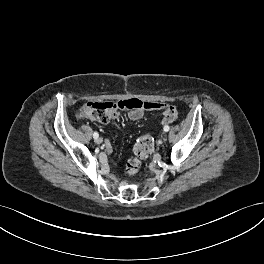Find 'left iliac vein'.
<instances>
[{"mask_svg":"<svg viewBox=\"0 0 264 264\" xmlns=\"http://www.w3.org/2000/svg\"><path fill=\"white\" fill-rule=\"evenodd\" d=\"M168 141V136H163V143L165 144Z\"/></svg>","mask_w":264,"mask_h":264,"instance_id":"left-iliac-vein-1","label":"left iliac vein"}]
</instances>
